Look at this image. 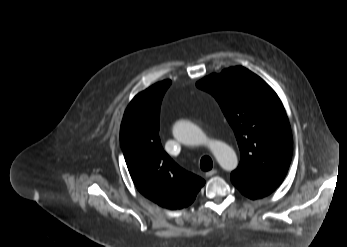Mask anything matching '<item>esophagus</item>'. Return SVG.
<instances>
[{
	"instance_id": "34e87169",
	"label": "esophagus",
	"mask_w": 347,
	"mask_h": 247,
	"mask_svg": "<svg viewBox=\"0 0 347 247\" xmlns=\"http://www.w3.org/2000/svg\"><path fill=\"white\" fill-rule=\"evenodd\" d=\"M217 173V170L216 169H212L208 172L205 173L206 177H211L213 175H215Z\"/></svg>"
}]
</instances>
